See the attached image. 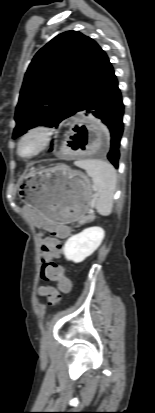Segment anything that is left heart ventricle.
I'll return each mask as SVG.
<instances>
[{"label": "left heart ventricle", "mask_w": 155, "mask_h": 413, "mask_svg": "<svg viewBox=\"0 0 155 413\" xmlns=\"http://www.w3.org/2000/svg\"><path fill=\"white\" fill-rule=\"evenodd\" d=\"M39 140L38 138H29L27 139L21 146V154L22 155H29L31 154L38 146Z\"/></svg>", "instance_id": "b2bd125f"}]
</instances>
